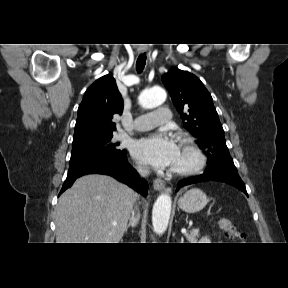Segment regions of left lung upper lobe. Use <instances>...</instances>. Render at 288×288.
I'll return each mask as SVG.
<instances>
[{
    "label": "left lung upper lobe",
    "mask_w": 288,
    "mask_h": 288,
    "mask_svg": "<svg viewBox=\"0 0 288 288\" xmlns=\"http://www.w3.org/2000/svg\"><path fill=\"white\" fill-rule=\"evenodd\" d=\"M184 127L196 138L208 157L205 173L239 176L226 146L224 130L211 94L201 80L190 72L171 68L162 76Z\"/></svg>",
    "instance_id": "left-lung-upper-lobe-1"
}]
</instances>
